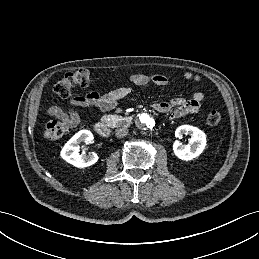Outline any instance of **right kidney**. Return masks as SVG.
<instances>
[{"label": "right kidney", "mask_w": 259, "mask_h": 259, "mask_svg": "<svg viewBox=\"0 0 259 259\" xmlns=\"http://www.w3.org/2000/svg\"><path fill=\"white\" fill-rule=\"evenodd\" d=\"M93 138L91 131L80 130L64 145L61 150V157L78 168H85L95 164L98 161L96 153L92 152L88 155L79 154V144L81 142L91 143Z\"/></svg>", "instance_id": "obj_1"}]
</instances>
